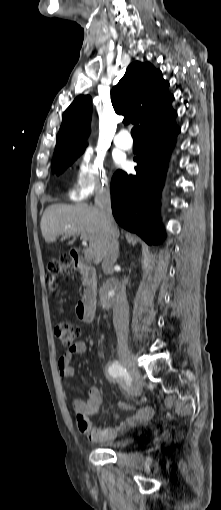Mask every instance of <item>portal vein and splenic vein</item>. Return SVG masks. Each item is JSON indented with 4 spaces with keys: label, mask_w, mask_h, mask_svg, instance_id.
<instances>
[{
    "label": "portal vein and splenic vein",
    "mask_w": 221,
    "mask_h": 510,
    "mask_svg": "<svg viewBox=\"0 0 221 510\" xmlns=\"http://www.w3.org/2000/svg\"><path fill=\"white\" fill-rule=\"evenodd\" d=\"M81 239L83 240V242L86 244L88 238L86 236L85 233H81ZM84 255H85V259L86 260H92L93 257H94V252L91 248H87L84 252Z\"/></svg>",
    "instance_id": "18ae733b"
}]
</instances>
